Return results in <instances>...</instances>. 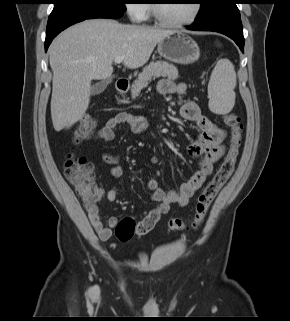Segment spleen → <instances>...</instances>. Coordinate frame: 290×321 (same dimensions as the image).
I'll return each mask as SVG.
<instances>
[{
  "label": "spleen",
  "mask_w": 290,
  "mask_h": 321,
  "mask_svg": "<svg viewBox=\"0 0 290 321\" xmlns=\"http://www.w3.org/2000/svg\"><path fill=\"white\" fill-rule=\"evenodd\" d=\"M236 73L228 59H221L213 69L208 84L209 108L216 114L229 113L235 104Z\"/></svg>",
  "instance_id": "3e777b00"
}]
</instances>
